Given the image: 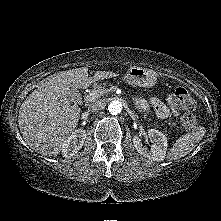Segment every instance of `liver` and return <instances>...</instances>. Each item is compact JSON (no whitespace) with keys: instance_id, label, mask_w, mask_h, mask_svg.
Returning <instances> with one entry per match:
<instances>
[{"instance_id":"6515ba94","label":"liver","mask_w":221,"mask_h":221,"mask_svg":"<svg viewBox=\"0 0 221 221\" xmlns=\"http://www.w3.org/2000/svg\"><path fill=\"white\" fill-rule=\"evenodd\" d=\"M112 71H97L89 77L88 68L62 71L42 82L22 103L18 124L30 148L44 156H57L63 143L76 129L81 108L71 105L69 92L86 89L92 83L116 77Z\"/></svg>"}]
</instances>
